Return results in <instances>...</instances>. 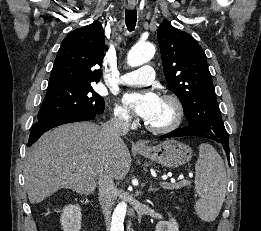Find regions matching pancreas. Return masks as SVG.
<instances>
[{
    "label": "pancreas",
    "mask_w": 261,
    "mask_h": 231,
    "mask_svg": "<svg viewBox=\"0 0 261 231\" xmlns=\"http://www.w3.org/2000/svg\"><path fill=\"white\" fill-rule=\"evenodd\" d=\"M188 184H182V185H179L178 187L177 186H173V185H162L164 189H167V190H171L172 192L171 193H174L173 191L182 187V186H186Z\"/></svg>",
    "instance_id": "1"
}]
</instances>
